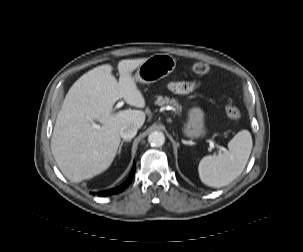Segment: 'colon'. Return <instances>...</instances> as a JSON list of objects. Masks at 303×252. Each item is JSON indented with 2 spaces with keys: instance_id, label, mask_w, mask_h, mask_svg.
I'll return each mask as SVG.
<instances>
[{
  "instance_id": "obj_1",
  "label": "colon",
  "mask_w": 303,
  "mask_h": 252,
  "mask_svg": "<svg viewBox=\"0 0 303 252\" xmlns=\"http://www.w3.org/2000/svg\"><path fill=\"white\" fill-rule=\"evenodd\" d=\"M191 70L197 75H207L210 72V67L206 63L194 62L191 65ZM225 110L229 119L234 123H239L242 118L241 111L233 105L231 102H227L225 105Z\"/></svg>"
}]
</instances>
